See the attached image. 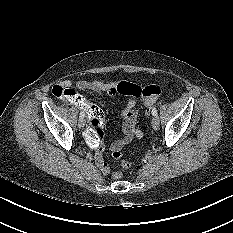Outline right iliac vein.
<instances>
[{"label":"right iliac vein","mask_w":233,"mask_h":233,"mask_svg":"<svg viewBox=\"0 0 233 233\" xmlns=\"http://www.w3.org/2000/svg\"><path fill=\"white\" fill-rule=\"evenodd\" d=\"M78 126L79 127H84L85 126V119L84 118H79L78 120Z\"/></svg>","instance_id":"right-iliac-vein-1"}]
</instances>
